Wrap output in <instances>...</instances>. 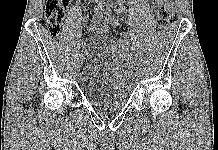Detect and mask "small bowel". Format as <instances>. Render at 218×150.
Masks as SVG:
<instances>
[{
    "label": "small bowel",
    "instance_id": "small-bowel-1",
    "mask_svg": "<svg viewBox=\"0 0 218 150\" xmlns=\"http://www.w3.org/2000/svg\"><path fill=\"white\" fill-rule=\"evenodd\" d=\"M154 2H155V4L157 5V6H159V7H167V8H169V9H171L172 8V0H153ZM117 10L118 11H122L123 10V5L120 3L119 5H118V7H117ZM97 22V21H96ZM95 22V24L90 28L92 31H95V26H96V24H98V23H96Z\"/></svg>",
    "mask_w": 218,
    "mask_h": 150
}]
</instances>
